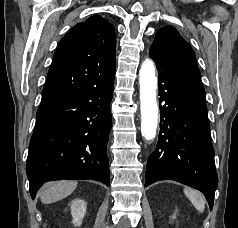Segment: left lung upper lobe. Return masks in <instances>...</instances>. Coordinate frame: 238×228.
Returning <instances> with one entry per match:
<instances>
[{
    "instance_id": "obj_1",
    "label": "left lung upper lobe",
    "mask_w": 238,
    "mask_h": 228,
    "mask_svg": "<svg viewBox=\"0 0 238 228\" xmlns=\"http://www.w3.org/2000/svg\"><path fill=\"white\" fill-rule=\"evenodd\" d=\"M150 56L202 85L195 53L174 27L164 26L156 33Z\"/></svg>"
}]
</instances>
